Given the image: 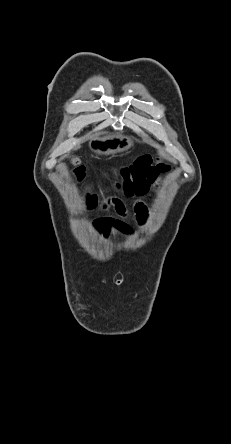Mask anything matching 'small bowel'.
<instances>
[{
    "mask_svg": "<svg viewBox=\"0 0 231 444\" xmlns=\"http://www.w3.org/2000/svg\"><path fill=\"white\" fill-rule=\"evenodd\" d=\"M153 182H154V180H152L150 182L149 187ZM91 204H94V203L92 202ZM111 204L113 205L115 211L117 212L118 217L117 218H112V217L100 218L97 221V226L103 231L114 230L115 232H119L122 234L128 233L129 232V225L125 221V218L127 217L128 212H127L125 205L119 200H113L111 202ZM146 216H147L146 208L140 204L136 209V217L139 221L143 222V221H145Z\"/></svg>",
    "mask_w": 231,
    "mask_h": 444,
    "instance_id": "small-bowel-1",
    "label": "small bowel"
}]
</instances>
